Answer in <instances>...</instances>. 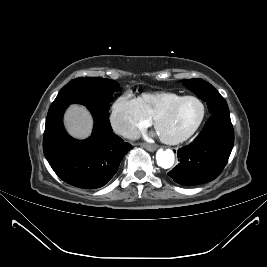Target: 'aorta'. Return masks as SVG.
Instances as JSON below:
<instances>
[{
    "label": "aorta",
    "mask_w": 267,
    "mask_h": 267,
    "mask_svg": "<svg viewBox=\"0 0 267 267\" xmlns=\"http://www.w3.org/2000/svg\"><path fill=\"white\" fill-rule=\"evenodd\" d=\"M174 153L170 149H159L156 153L158 166L168 169L174 164Z\"/></svg>",
    "instance_id": "aorta-1"
}]
</instances>
